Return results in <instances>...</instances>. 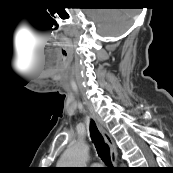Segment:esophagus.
<instances>
[{"mask_svg":"<svg viewBox=\"0 0 173 173\" xmlns=\"http://www.w3.org/2000/svg\"><path fill=\"white\" fill-rule=\"evenodd\" d=\"M96 123H97V126H98L100 132L102 133L106 143L110 147L111 162H112L113 166H116L117 165V150H116L115 143H114L112 137L110 136V134L103 128V126L98 122H96Z\"/></svg>","mask_w":173,"mask_h":173,"instance_id":"esophagus-1","label":"esophagus"}]
</instances>
